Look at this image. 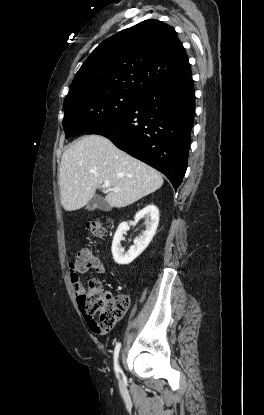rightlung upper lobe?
<instances>
[{"instance_id":"cb5924a9","label":"right lung upper lobe","mask_w":264,"mask_h":415,"mask_svg":"<svg viewBox=\"0 0 264 415\" xmlns=\"http://www.w3.org/2000/svg\"><path fill=\"white\" fill-rule=\"evenodd\" d=\"M191 73L174 28L145 20L103 41L76 73L65 100L107 92L142 96Z\"/></svg>"}]
</instances>
